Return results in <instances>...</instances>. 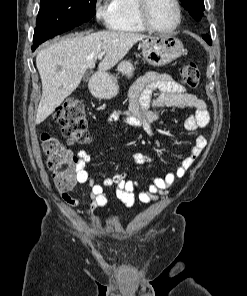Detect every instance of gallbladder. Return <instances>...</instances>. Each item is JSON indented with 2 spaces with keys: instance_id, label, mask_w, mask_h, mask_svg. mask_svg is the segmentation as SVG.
I'll use <instances>...</instances> for the list:
<instances>
[{
  "instance_id": "gallbladder-1",
  "label": "gallbladder",
  "mask_w": 247,
  "mask_h": 296,
  "mask_svg": "<svg viewBox=\"0 0 247 296\" xmlns=\"http://www.w3.org/2000/svg\"><path fill=\"white\" fill-rule=\"evenodd\" d=\"M85 79H86V80H88V79H89V74H87V75H86Z\"/></svg>"
}]
</instances>
